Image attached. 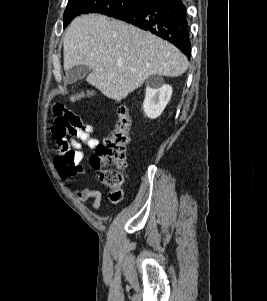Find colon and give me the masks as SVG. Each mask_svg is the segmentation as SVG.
<instances>
[{
  "label": "colon",
  "instance_id": "obj_1",
  "mask_svg": "<svg viewBox=\"0 0 267 301\" xmlns=\"http://www.w3.org/2000/svg\"><path fill=\"white\" fill-rule=\"evenodd\" d=\"M93 95V91L85 90L71 95L72 101H79ZM118 118L112 133L96 147L90 157V165L99 174L100 181L105 185L110 200L121 201L125 183L126 147L129 142L131 119L128 108L120 104Z\"/></svg>",
  "mask_w": 267,
  "mask_h": 301
}]
</instances>
